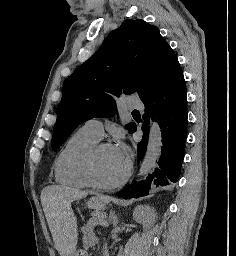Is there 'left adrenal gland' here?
Here are the masks:
<instances>
[{
    "instance_id": "left-adrenal-gland-1",
    "label": "left adrenal gland",
    "mask_w": 236,
    "mask_h": 256,
    "mask_svg": "<svg viewBox=\"0 0 236 256\" xmlns=\"http://www.w3.org/2000/svg\"><path fill=\"white\" fill-rule=\"evenodd\" d=\"M109 222H110V224H113V228H116L117 224H119V218H117V216H115L114 210H111V212H110Z\"/></svg>"
}]
</instances>
